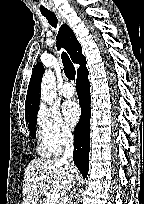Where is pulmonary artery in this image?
Wrapping results in <instances>:
<instances>
[{
	"instance_id": "obj_1",
	"label": "pulmonary artery",
	"mask_w": 144,
	"mask_h": 204,
	"mask_svg": "<svg viewBox=\"0 0 144 204\" xmlns=\"http://www.w3.org/2000/svg\"><path fill=\"white\" fill-rule=\"evenodd\" d=\"M61 94L65 97H71L74 94V88L69 82H65L61 87Z\"/></svg>"
}]
</instances>
